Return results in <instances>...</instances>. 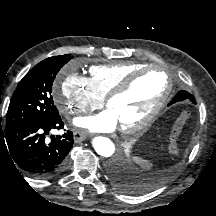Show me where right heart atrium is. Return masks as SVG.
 I'll list each match as a JSON object with an SVG mask.
<instances>
[{
  "label": "right heart atrium",
  "mask_w": 216,
  "mask_h": 216,
  "mask_svg": "<svg viewBox=\"0 0 216 216\" xmlns=\"http://www.w3.org/2000/svg\"><path fill=\"white\" fill-rule=\"evenodd\" d=\"M53 101L65 117L87 113L103 105V98L93 90L89 79L75 73L61 79L54 89Z\"/></svg>",
  "instance_id": "d8ad5b80"
}]
</instances>
